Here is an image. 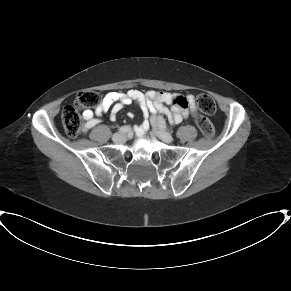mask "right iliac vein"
I'll list each match as a JSON object with an SVG mask.
<instances>
[{
    "mask_svg": "<svg viewBox=\"0 0 291 291\" xmlns=\"http://www.w3.org/2000/svg\"><path fill=\"white\" fill-rule=\"evenodd\" d=\"M126 139V135L123 133H116L113 135L112 140L116 143L122 142Z\"/></svg>",
    "mask_w": 291,
    "mask_h": 291,
    "instance_id": "63e3f726",
    "label": "right iliac vein"
}]
</instances>
